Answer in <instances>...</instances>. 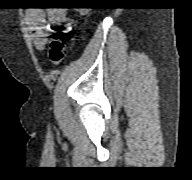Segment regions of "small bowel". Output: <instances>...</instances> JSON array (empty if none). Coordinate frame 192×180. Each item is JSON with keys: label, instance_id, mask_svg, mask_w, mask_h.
Listing matches in <instances>:
<instances>
[{"label": "small bowel", "instance_id": "1", "mask_svg": "<svg viewBox=\"0 0 192 180\" xmlns=\"http://www.w3.org/2000/svg\"><path fill=\"white\" fill-rule=\"evenodd\" d=\"M81 13L84 14L85 10H82ZM24 20L31 34L33 45L39 51L45 50L48 44L46 31L63 24L71 27L74 23V20L68 17L65 9L56 7L30 9L25 13Z\"/></svg>", "mask_w": 192, "mask_h": 180}]
</instances>
